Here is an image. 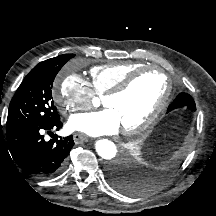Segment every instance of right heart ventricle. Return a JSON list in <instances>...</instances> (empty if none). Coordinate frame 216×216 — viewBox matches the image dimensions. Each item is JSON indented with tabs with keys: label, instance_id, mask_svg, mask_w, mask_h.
Listing matches in <instances>:
<instances>
[{
	"label": "right heart ventricle",
	"instance_id": "right-heart-ventricle-1",
	"mask_svg": "<svg viewBox=\"0 0 216 216\" xmlns=\"http://www.w3.org/2000/svg\"><path fill=\"white\" fill-rule=\"evenodd\" d=\"M143 66L132 61H119L93 66L90 69V86L97 94H105L116 86L128 73Z\"/></svg>",
	"mask_w": 216,
	"mask_h": 216
}]
</instances>
